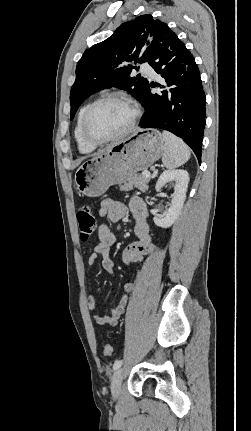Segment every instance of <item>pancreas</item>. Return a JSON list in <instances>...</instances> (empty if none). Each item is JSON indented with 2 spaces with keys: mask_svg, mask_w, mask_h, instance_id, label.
Instances as JSON below:
<instances>
[{
  "mask_svg": "<svg viewBox=\"0 0 251 431\" xmlns=\"http://www.w3.org/2000/svg\"><path fill=\"white\" fill-rule=\"evenodd\" d=\"M150 179L140 175H133L128 181H126L123 185H120V190L129 191L133 188H138L140 191L145 192L148 189V183Z\"/></svg>",
  "mask_w": 251,
  "mask_h": 431,
  "instance_id": "pancreas-1",
  "label": "pancreas"
}]
</instances>
